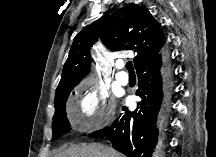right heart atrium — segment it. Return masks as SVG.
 <instances>
[{
    "mask_svg": "<svg viewBox=\"0 0 216 157\" xmlns=\"http://www.w3.org/2000/svg\"><path fill=\"white\" fill-rule=\"evenodd\" d=\"M78 95V110L72 117V123L78 130L82 132L92 131L114 118L115 105L93 83H82L78 88Z\"/></svg>",
    "mask_w": 216,
    "mask_h": 157,
    "instance_id": "1",
    "label": "right heart atrium"
}]
</instances>
